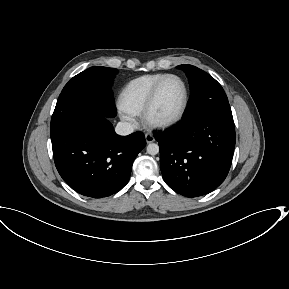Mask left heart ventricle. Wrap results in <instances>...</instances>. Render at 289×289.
<instances>
[{"label": "left heart ventricle", "mask_w": 289, "mask_h": 289, "mask_svg": "<svg viewBox=\"0 0 289 289\" xmlns=\"http://www.w3.org/2000/svg\"><path fill=\"white\" fill-rule=\"evenodd\" d=\"M184 101V87L177 79H169L162 86L154 110L156 119L165 120L174 117Z\"/></svg>", "instance_id": "obj_1"}]
</instances>
